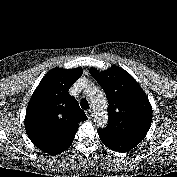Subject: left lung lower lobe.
Masks as SVG:
<instances>
[{
  "instance_id": "1",
  "label": "left lung lower lobe",
  "mask_w": 177,
  "mask_h": 177,
  "mask_svg": "<svg viewBox=\"0 0 177 177\" xmlns=\"http://www.w3.org/2000/svg\"><path fill=\"white\" fill-rule=\"evenodd\" d=\"M104 145L114 151L123 152L131 149H127L125 145L115 142H104Z\"/></svg>"
}]
</instances>
